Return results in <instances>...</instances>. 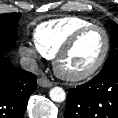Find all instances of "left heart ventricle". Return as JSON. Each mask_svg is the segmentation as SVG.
<instances>
[{
    "label": "left heart ventricle",
    "instance_id": "b2bd125f",
    "mask_svg": "<svg viewBox=\"0 0 118 118\" xmlns=\"http://www.w3.org/2000/svg\"><path fill=\"white\" fill-rule=\"evenodd\" d=\"M105 47V38L100 30L85 33L64 56L61 67L68 73H80L91 68L101 57Z\"/></svg>",
    "mask_w": 118,
    "mask_h": 118
}]
</instances>
